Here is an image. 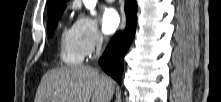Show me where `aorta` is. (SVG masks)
Wrapping results in <instances>:
<instances>
[{
	"mask_svg": "<svg viewBox=\"0 0 221 102\" xmlns=\"http://www.w3.org/2000/svg\"><path fill=\"white\" fill-rule=\"evenodd\" d=\"M83 3L85 7L91 11V14L94 15V8L96 6L97 0H83Z\"/></svg>",
	"mask_w": 221,
	"mask_h": 102,
	"instance_id": "1",
	"label": "aorta"
}]
</instances>
